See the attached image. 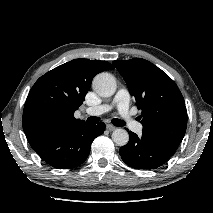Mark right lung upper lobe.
Masks as SVG:
<instances>
[{
    "label": "right lung upper lobe",
    "mask_w": 213,
    "mask_h": 213,
    "mask_svg": "<svg viewBox=\"0 0 213 213\" xmlns=\"http://www.w3.org/2000/svg\"><path fill=\"white\" fill-rule=\"evenodd\" d=\"M114 69L107 61L74 59L41 76L31 88L23 110L25 133L65 132L86 123L74 112L82 105L98 73Z\"/></svg>",
    "instance_id": "1"
}]
</instances>
